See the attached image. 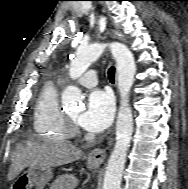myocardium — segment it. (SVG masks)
Wrapping results in <instances>:
<instances>
[{
  "instance_id": "1",
  "label": "myocardium",
  "mask_w": 188,
  "mask_h": 189,
  "mask_svg": "<svg viewBox=\"0 0 188 189\" xmlns=\"http://www.w3.org/2000/svg\"><path fill=\"white\" fill-rule=\"evenodd\" d=\"M65 125L68 135L77 136L80 134V130L76 124V120L71 118L68 114H65Z\"/></svg>"
}]
</instances>
